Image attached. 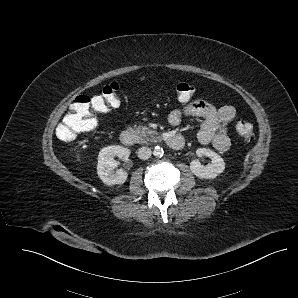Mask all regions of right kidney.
Instances as JSON below:
<instances>
[{
  "label": "right kidney",
  "mask_w": 298,
  "mask_h": 298,
  "mask_svg": "<svg viewBox=\"0 0 298 298\" xmlns=\"http://www.w3.org/2000/svg\"><path fill=\"white\" fill-rule=\"evenodd\" d=\"M131 150L120 145L104 147L100 150L97 163V174L106 185L123 184L128 177L126 171L114 169L118 166L115 156L123 159L129 158Z\"/></svg>",
  "instance_id": "ca27d5eb"
}]
</instances>
